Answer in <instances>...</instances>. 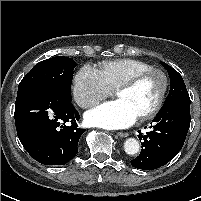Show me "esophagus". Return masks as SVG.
<instances>
[{
	"mask_svg": "<svg viewBox=\"0 0 201 201\" xmlns=\"http://www.w3.org/2000/svg\"><path fill=\"white\" fill-rule=\"evenodd\" d=\"M117 135H118L119 137H128V136H129V133H127V132H117Z\"/></svg>",
	"mask_w": 201,
	"mask_h": 201,
	"instance_id": "esophagus-1",
	"label": "esophagus"
}]
</instances>
